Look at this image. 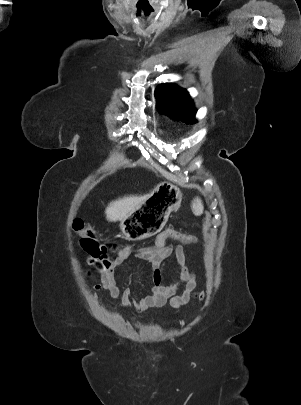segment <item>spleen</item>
<instances>
[{
    "instance_id": "3e777b00",
    "label": "spleen",
    "mask_w": 301,
    "mask_h": 405,
    "mask_svg": "<svg viewBox=\"0 0 301 405\" xmlns=\"http://www.w3.org/2000/svg\"><path fill=\"white\" fill-rule=\"evenodd\" d=\"M203 204L199 198L194 199L192 202V211L195 215L199 216L203 213Z\"/></svg>"
}]
</instances>
